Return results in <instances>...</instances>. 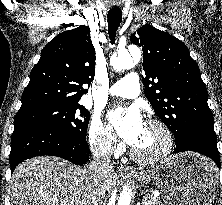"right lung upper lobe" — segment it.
<instances>
[{
	"label": "right lung upper lobe",
	"instance_id": "obj_1",
	"mask_svg": "<svg viewBox=\"0 0 222 205\" xmlns=\"http://www.w3.org/2000/svg\"><path fill=\"white\" fill-rule=\"evenodd\" d=\"M95 49L88 26L65 31L49 42L30 73L18 112L47 104L78 103L95 74Z\"/></svg>",
	"mask_w": 222,
	"mask_h": 205
}]
</instances>
